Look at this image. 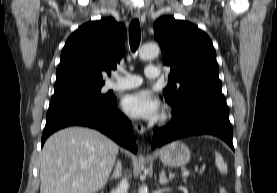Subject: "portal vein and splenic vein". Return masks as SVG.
I'll list each match as a JSON object with an SVG mask.
<instances>
[{"label": "portal vein and splenic vein", "instance_id": "18ae733b", "mask_svg": "<svg viewBox=\"0 0 277 193\" xmlns=\"http://www.w3.org/2000/svg\"><path fill=\"white\" fill-rule=\"evenodd\" d=\"M189 174H190V172L188 170H186L182 173V176L187 177V176H189Z\"/></svg>", "mask_w": 277, "mask_h": 193}]
</instances>
